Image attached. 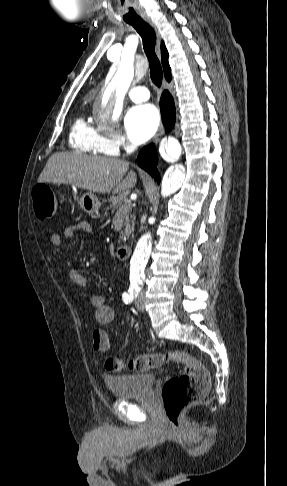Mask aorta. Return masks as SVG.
<instances>
[{
    "label": "aorta",
    "instance_id": "1",
    "mask_svg": "<svg viewBox=\"0 0 287 486\" xmlns=\"http://www.w3.org/2000/svg\"><path fill=\"white\" fill-rule=\"evenodd\" d=\"M134 78V67L132 63L122 61L104 91V95L96 100L94 114L95 118L103 123L115 121L121 114L123 98L128 91ZM168 155L179 158L181 145L174 137H169L165 144ZM185 179L182 165H177L162 184V195L169 196L176 192ZM152 236L149 232L144 233L134 250L131 258L130 279L138 281L144 274V267L151 253Z\"/></svg>",
    "mask_w": 287,
    "mask_h": 486
}]
</instances>
